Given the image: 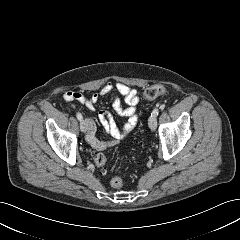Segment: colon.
<instances>
[{
  "label": "colon",
  "instance_id": "1",
  "mask_svg": "<svg viewBox=\"0 0 240 240\" xmlns=\"http://www.w3.org/2000/svg\"><path fill=\"white\" fill-rule=\"evenodd\" d=\"M166 92V88L162 85H153L148 87L147 89L144 90L143 92V97L146 100H153L157 97H160L164 95ZM95 163L96 165L102 170V171H107V160L106 157L103 154H97L95 157ZM110 184L113 188H120L123 184V179L120 176H114Z\"/></svg>",
  "mask_w": 240,
  "mask_h": 240
}]
</instances>
